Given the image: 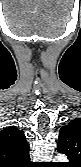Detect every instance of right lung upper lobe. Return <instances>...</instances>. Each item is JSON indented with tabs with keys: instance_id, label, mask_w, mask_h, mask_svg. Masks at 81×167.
<instances>
[{
	"instance_id": "1",
	"label": "right lung upper lobe",
	"mask_w": 81,
	"mask_h": 167,
	"mask_svg": "<svg viewBox=\"0 0 81 167\" xmlns=\"http://www.w3.org/2000/svg\"><path fill=\"white\" fill-rule=\"evenodd\" d=\"M31 164L24 133L15 127L0 131V167H29Z\"/></svg>"
}]
</instances>
